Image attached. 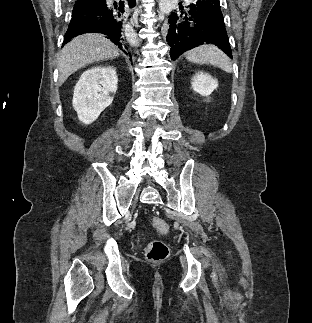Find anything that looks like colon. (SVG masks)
Listing matches in <instances>:
<instances>
[{"label":"colon","instance_id":"obj_1","mask_svg":"<svg viewBox=\"0 0 312 323\" xmlns=\"http://www.w3.org/2000/svg\"><path fill=\"white\" fill-rule=\"evenodd\" d=\"M153 227L158 232H167L168 225L164 222L162 218L155 217L153 219ZM168 256V247L165 243L161 241H153L146 247V258L150 262H162Z\"/></svg>","mask_w":312,"mask_h":323}]
</instances>
